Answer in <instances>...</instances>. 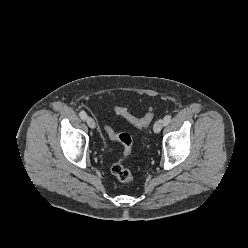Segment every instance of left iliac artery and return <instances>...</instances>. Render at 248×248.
<instances>
[{"label": "left iliac artery", "instance_id": "left-iliac-artery-1", "mask_svg": "<svg viewBox=\"0 0 248 248\" xmlns=\"http://www.w3.org/2000/svg\"><path fill=\"white\" fill-rule=\"evenodd\" d=\"M164 125H167L170 123L171 121V115L170 114H167L165 117H164Z\"/></svg>", "mask_w": 248, "mask_h": 248}]
</instances>
